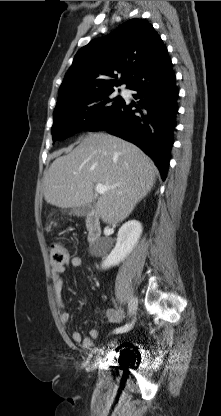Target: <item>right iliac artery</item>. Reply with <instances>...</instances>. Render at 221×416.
<instances>
[{
    "instance_id": "right-iliac-artery-1",
    "label": "right iliac artery",
    "mask_w": 221,
    "mask_h": 416,
    "mask_svg": "<svg viewBox=\"0 0 221 416\" xmlns=\"http://www.w3.org/2000/svg\"><path fill=\"white\" fill-rule=\"evenodd\" d=\"M134 321L130 324H126L122 327L116 328V330L114 331L115 333H123L126 332L128 330H130L133 327Z\"/></svg>"
}]
</instances>
